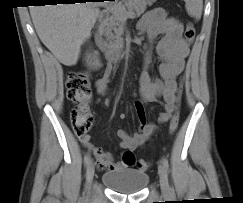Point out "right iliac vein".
Instances as JSON below:
<instances>
[{"instance_id": "right-iliac-vein-1", "label": "right iliac vein", "mask_w": 243, "mask_h": 203, "mask_svg": "<svg viewBox=\"0 0 243 203\" xmlns=\"http://www.w3.org/2000/svg\"><path fill=\"white\" fill-rule=\"evenodd\" d=\"M94 166L93 164L90 162L88 167H87V172H86V192L89 193L90 189H91V184L93 181V177H94Z\"/></svg>"}]
</instances>
